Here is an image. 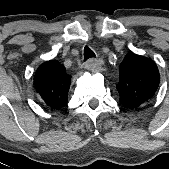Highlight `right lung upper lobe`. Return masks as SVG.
<instances>
[{
    "instance_id": "cb5924a9",
    "label": "right lung upper lobe",
    "mask_w": 169,
    "mask_h": 169,
    "mask_svg": "<svg viewBox=\"0 0 169 169\" xmlns=\"http://www.w3.org/2000/svg\"><path fill=\"white\" fill-rule=\"evenodd\" d=\"M47 102L52 106L63 104L68 90V81L61 66L53 63L45 67L42 74Z\"/></svg>"
}]
</instances>
